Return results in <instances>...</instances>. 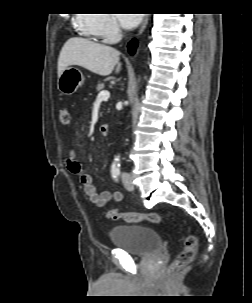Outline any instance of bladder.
<instances>
[{
	"label": "bladder",
	"mask_w": 252,
	"mask_h": 303,
	"mask_svg": "<svg viewBox=\"0 0 252 303\" xmlns=\"http://www.w3.org/2000/svg\"><path fill=\"white\" fill-rule=\"evenodd\" d=\"M112 243L135 257H147L161 251L158 231L145 225H117L110 231Z\"/></svg>",
	"instance_id": "bladder-1"
}]
</instances>
